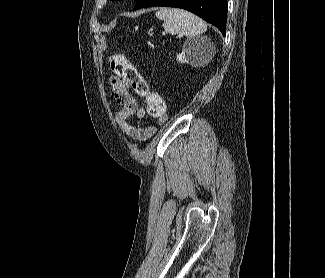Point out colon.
<instances>
[{
	"label": "colon",
	"mask_w": 325,
	"mask_h": 278,
	"mask_svg": "<svg viewBox=\"0 0 325 278\" xmlns=\"http://www.w3.org/2000/svg\"><path fill=\"white\" fill-rule=\"evenodd\" d=\"M112 72L121 80L129 83L134 90L147 99V112L152 117H165V103L163 98L150 90L148 82L139 70L120 52L109 57Z\"/></svg>",
	"instance_id": "colon-1"
}]
</instances>
